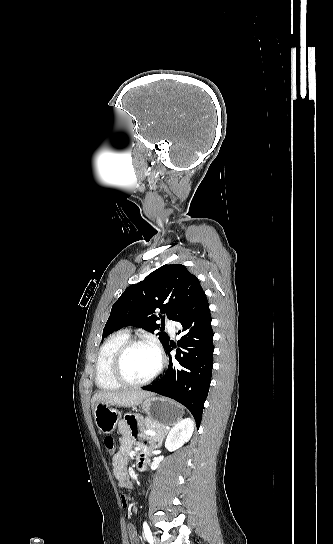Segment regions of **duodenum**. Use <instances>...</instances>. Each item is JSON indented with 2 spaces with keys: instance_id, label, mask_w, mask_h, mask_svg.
Masks as SVG:
<instances>
[{
  "instance_id": "1",
  "label": "duodenum",
  "mask_w": 333,
  "mask_h": 544,
  "mask_svg": "<svg viewBox=\"0 0 333 544\" xmlns=\"http://www.w3.org/2000/svg\"><path fill=\"white\" fill-rule=\"evenodd\" d=\"M148 464V455L145 451H140L137 456L136 467L138 470H144Z\"/></svg>"
}]
</instances>
